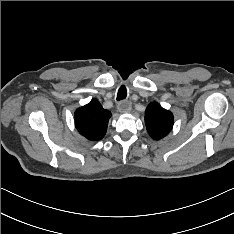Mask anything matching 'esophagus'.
Here are the masks:
<instances>
[{
  "label": "esophagus",
  "mask_w": 234,
  "mask_h": 234,
  "mask_svg": "<svg viewBox=\"0 0 234 234\" xmlns=\"http://www.w3.org/2000/svg\"><path fill=\"white\" fill-rule=\"evenodd\" d=\"M117 108L120 112L122 113H128L131 111V103L128 102V101H123V102H120L118 105H117Z\"/></svg>",
  "instance_id": "esophagus-1"
}]
</instances>
